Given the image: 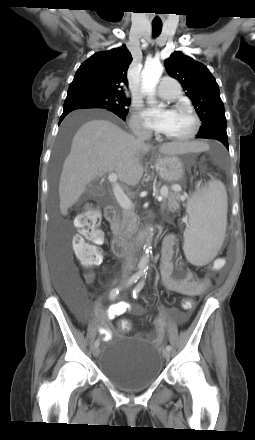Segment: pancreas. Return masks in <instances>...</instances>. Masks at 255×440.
<instances>
[{
  "instance_id": "cf45deb5",
  "label": "pancreas",
  "mask_w": 255,
  "mask_h": 440,
  "mask_svg": "<svg viewBox=\"0 0 255 440\" xmlns=\"http://www.w3.org/2000/svg\"><path fill=\"white\" fill-rule=\"evenodd\" d=\"M160 193H165L163 197L168 199V209L171 212L176 211L179 208L178 199L180 194L173 191H169L167 187H163ZM137 215L133 210L122 209L118 212L117 217L111 222V230L113 234L122 236L124 238L131 237L137 230Z\"/></svg>"
}]
</instances>
